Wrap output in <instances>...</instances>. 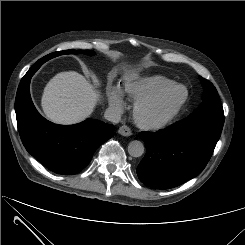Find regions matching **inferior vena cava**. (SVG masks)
<instances>
[{
  "instance_id": "1",
  "label": "inferior vena cava",
  "mask_w": 245,
  "mask_h": 245,
  "mask_svg": "<svg viewBox=\"0 0 245 245\" xmlns=\"http://www.w3.org/2000/svg\"><path fill=\"white\" fill-rule=\"evenodd\" d=\"M104 117L106 120L113 123H119L121 120L120 112L114 108H107L104 113Z\"/></svg>"
}]
</instances>
